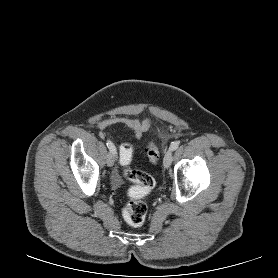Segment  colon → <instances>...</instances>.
I'll return each instance as SVG.
<instances>
[{
	"mask_svg": "<svg viewBox=\"0 0 278 278\" xmlns=\"http://www.w3.org/2000/svg\"><path fill=\"white\" fill-rule=\"evenodd\" d=\"M146 153L152 163L159 159V150L154 143H149L146 147ZM133 148L129 143H124L120 148V163L123 167L124 176L133 183L129 191L130 200L123 207V216L126 222L131 226H141L147 216V206L141 200L154 187L153 177L137 169H132L129 164L132 159Z\"/></svg>",
	"mask_w": 278,
	"mask_h": 278,
	"instance_id": "1",
	"label": "colon"
}]
</instances>
